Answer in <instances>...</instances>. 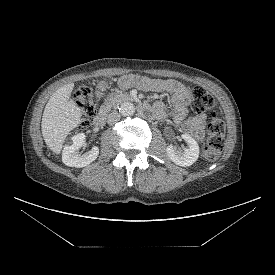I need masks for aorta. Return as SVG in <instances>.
Returning <instances> with one entry per match:
<instances>
[{"mask_svg": "<svg viewBox=\"0 0 275 275\" xmlns=\"http://www.w3.org/2000/svg\"><path fill=\"white\" fill-rule=\"evenodd\" d=\"M119 111L124 117L132 116L135 112V106L131 102H124L121 104Z\"/></svg>", "mask_w": 275, "mask_h": 275, "instance_id": "1", "label": "aorta"}]
</instances>
